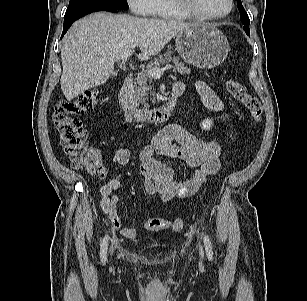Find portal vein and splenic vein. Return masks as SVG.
I'll return each instance as SVG.
<instances>
[{
  "label": "portal vein and splenic vein",
  "mask_w": 307,
  "mask_h": 301,
  "mask_svg": "<svg viewBox=\"0 0 307 301\" xmlns=\"http://www.w3.org/2000/svg\"><path fill=\"white\" fill-rule=\"evenodd\" d=\"M132 55V52L131 51H128L126 53H124L121 57V60L123 62H125L130 56ZM172 68V65L170 64H167L166 66H164L163 68H159V67H156V68H152L148 71V74L153 77V78H156V79H159L162 74L164 73V71L166 70H169Z\"/></svg>",
  "instance_id": "obj_1"
}]
</instances>
